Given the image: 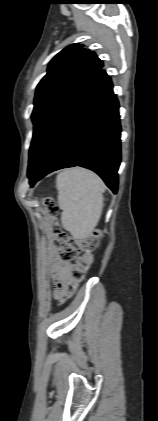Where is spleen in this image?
Here are the masks:
<instances>
[{"mask_svg": "<svg viewBox=\"0 0 158 421\" xmlns=\"http://www.w3.org/2000/svg\"><path fill=\"white\" fill-rule=\"evenodd\" d=\"M62 226L76 238H84L97 225L103 208L104 182L84 168L66 169L56 179Z\"/></svg>", "mask_w": 158, "mask_h": 421, "instance_id": "spleen-1", "label": "spleen"}]
</instances>
